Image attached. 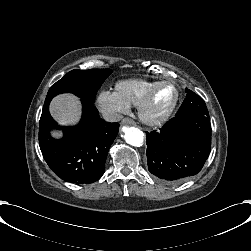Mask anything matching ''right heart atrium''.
<instances>
[{
  "label": "right heart atrium",
  "instance_id": "1",
  "mask_svg": "<svg viewBox=\"0 0 251 251\" xmlns=\"http://www.w3.org/2000/svg\"><path fill=\"white\" fill-rule=\"evenodd\" d=\"M99 111L110 121L119 119L121 114L127 113L130 106L123 102L114 91L101 90L95 98Z\"/></svg>",
  "mask_w": 251,
  "mask_h": 251
}]
</instances>
